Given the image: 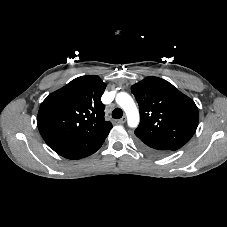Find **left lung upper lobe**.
Segmentation results:
<instances>
[{
    "mask_svg": "<svg viewBox=\"0 0 227 227\" xmlns=\"http://www.w3.org/2000/svg\"><path fill=\"white\" fill-rule=\"evenodd\" d=\"M140 109L138 140L152 147L175 151L196 131L198 109L194 101L158 77H146L131 86Z\"/></svg>",
    "mask_w": 227,
    "mask_h": 227,
    "instance_id": "5c2ea615",
    "label": "left lung upper lobe"
}]
</instances>
